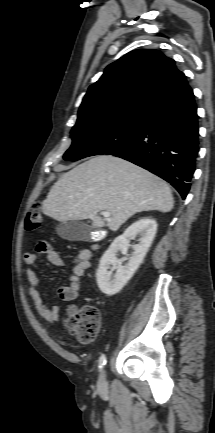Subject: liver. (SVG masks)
Segmentation results:
<instances>
[{"label": "liver", "instance_id": "liver-1", "mask_svg": "<svg viewBox=\"0 0 215 433\" xmlns=\"http://www.w3.org/2000/svg\"><path fill=\"white\" fill-rule=\"evenodd\" d=\"M174 198L168 184L124 159L99 155L64 173L43 201V213L57 221L90 219L94 228L116 231L138 212H169ZM107 211V223L98 215Z\"/></svg>", "mask_w": 215, "mask_h": 433}]
</instances>
